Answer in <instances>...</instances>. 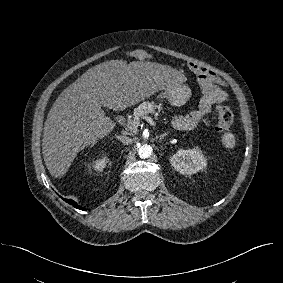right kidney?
Wrapping results in <instances>:
<instances>
[{
  "instance_id": "right-kidney-1",
  "label": "right kidney",
  "mask_w": 283,
  "mask_h": 283,
  "mask_svg": "<svg viewBox=\"0 0 283 283\" xmlns=\"http://www.w3.org/2000/svg\"><path fill=\"white\" fill-rule=\"evenodd\" d=\"M107 162H108V158L102 157L93 161L91 167L96 171H103V169L106 167Z\"/></svg>"
}]
</instances>
